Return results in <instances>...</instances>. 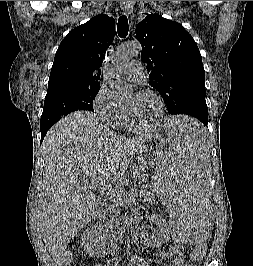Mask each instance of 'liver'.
<instances>
[{
  "mask_svg": "<svg viewBox=\"0 0 253 266\" xmlns=\"http://www.w3.org/2000/svg\"><path fill=\"white\" fill-rule=\"evenodd\" d=\"M150 139L114 134L89 112H75L58 121L43 143L44 176L38 220L46 247L60 264L73 238L94 215L97 205L89 180L119 182L129 155ZM161 200V199H160Z\"/></svg>",
  "mask_w": 253,
  "mask_h": 266,
  "instance_id": "liver-1",
  "label": "liver"
}]
</instances>
